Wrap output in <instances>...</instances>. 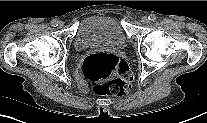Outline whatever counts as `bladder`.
<instances>
[{
	"label": "bladder",
	"mask_w": 207,
	"mask_h": 123,
	"mask_svg": "<svg viewBox=\"0 0 207 123\" xmlns=\"http://www.w3.org/2000/svg\"><path fill=\"white\" fill-rule=\"evenodd\" d=\"M127 39L121 22L115 17L90 16L78 26L75 47L78 51L121 50Z\"/></svg>",
	"instance_id": "obj_1"
}]
</instances>
